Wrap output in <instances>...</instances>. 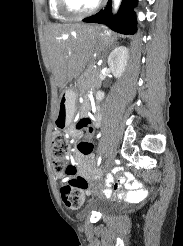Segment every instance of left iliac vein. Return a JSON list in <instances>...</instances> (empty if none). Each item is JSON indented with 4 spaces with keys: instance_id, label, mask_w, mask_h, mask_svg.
Listing matches in <instances>:
<instances>
[{
    "instance_id": "left-iliac-vein-1",
    "label": "left iliac vein",
    "mask_w": 183,
    "mask_h": 246,
    "mask_svg": "<svg viewBox=\"0 0 183 246\" xmlns=\"http://www.w3.org/2000/svg\"><path fill=\"white\" fill-rule=\"evenodd\" d=\"M115 157H116V153L115 152H111L108 155L106 163H105L106 168H110L114 164Z\"/></svg>"
}]
</instances>
